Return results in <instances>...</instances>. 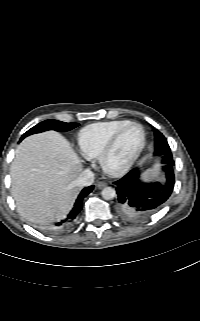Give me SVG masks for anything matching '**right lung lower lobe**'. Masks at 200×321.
Returning a JSON list of instances; mask_svg holds the SVG:
<instances>
[{
	"instance_id": "1",
	"label": "right lung lower lobe",
	"mask_w": 200,
	"mask_h": 321,
	"mask_svg": "<svg viewBox=\"0 0 200 321\" xmlns=\"http://www.w3.org/2000/svg\"><path fill=\"white\" fill-rule=\"evenodd\" d=\"M93 190V185L84 188L81 193L79 194L72 210L70 211V213L67 215V217L60 221L59 223L56 224L55 230L56 231H60L63 229H66L67 227H69L74 220L76 219L77 215L79 214L80 210L82 209V200L85 196H87L91 191Z\"/></svg>"
}]
</instances>
